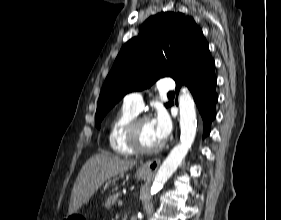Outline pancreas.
<instances>
[{"label": "pancreas", "mask_w": 281, "mask_h": 220, "mask_svg": "<svg viewBox=\"0 0 281 220\" xmlns=\"http://www.w3.org/2000/svg\"><path fill=\"white\" fill-rule=\"evenodd\" d=\"M121 196V193H116L113 195H110L108 197V199L106 200V202L103 204V207L105 208H111L112 206H114L116 204V202L118 201L119 197Z\"/></svg>", "instance_id": "1"}]
</instances>
